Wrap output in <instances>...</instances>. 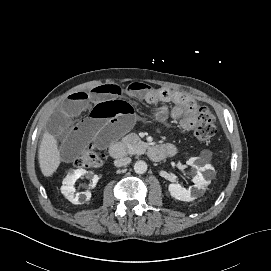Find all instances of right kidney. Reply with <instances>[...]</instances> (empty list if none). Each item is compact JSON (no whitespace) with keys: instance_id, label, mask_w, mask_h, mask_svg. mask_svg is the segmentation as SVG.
<instances>
[{"instance_id":"1","label":"right kidney","mask_w":271,"mask_h":271,"mask_svg":"<svg viewBox=\"0 0 271 271\" xmlns=\"http://www.w3.org/2000/svg\"><path fill=\"white\" fill-rule=\"evenodd\" d=\"M91 176L92 172H88L85 169H76L69 172L68 175L63 179L61 186V193L73 204H83L91 198L90 191L76 193L74 184L76 180L82 176ZM98 176L94 175L92 177V187H95L98 182Z\"/></svg>"}]
</instances>
